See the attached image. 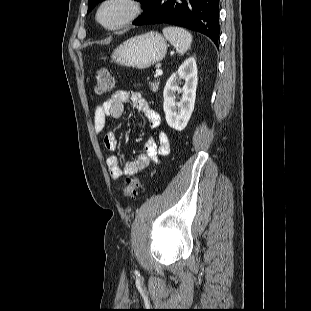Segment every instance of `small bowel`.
<instances>
[{"mask_svg":"<svg viewBox=\"0 0 311 311\" xmlns=\"http://www.w3.org/2000/svg\"><path fill=\"white\" fill-rule=\"evenodd\" d=\"M131 103L133 108L142 113L152 129L160 126L159 114L150 108L144 96L138 91L117 90L109 98L97 105L94 113L93 128L97 134L104 131L109 119L116 120L122 117L124 106ZM103 144L109 152L106 166L112 179L116 180L124 174L137 175L144 172L151 162L158 163L160 157L168 155L170 140L168 135L160 131L157 139L149 137L144 143V153L139 154L133 161L122 163L114 154L117 148L116 134L112 131L103 136Z\"/></svg>","mask_w":311,"mask_h":311,"instance_id":"obj_1","label":"small bowel"}]
</instances>
